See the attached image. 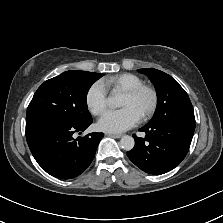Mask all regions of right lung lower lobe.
<instances>
[{
	"instance_id": "1",
	"label": "right lung lower lobe",
	"mask_w": 223,
	"mask_h": 223,
	"mask_svg": "<svg viewBox=\"0 0 223 223\" xmlns=\"http://www.w3.org/2000/svg\"><path fill=\"white\" fill-rule=\"evenodd\" d=\"M92 122L50 124L26 130L27 143L37 163L60 179L80 175L92 162L104 134L94 132L76 140L73 134L84 131Z\"/></svg>"
}]
</instances>
